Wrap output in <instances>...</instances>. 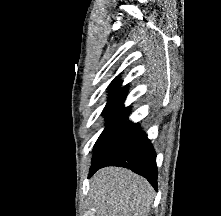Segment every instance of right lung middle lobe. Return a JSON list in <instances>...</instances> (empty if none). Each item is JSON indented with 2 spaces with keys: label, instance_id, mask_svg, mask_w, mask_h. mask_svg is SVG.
I'll use <instances>...</instances> for the list:
<instances>
[{
  "label": "right lung middle lobe",
  "instance_id": "dd1d6c3e",
  "mask_svg": "<svg viewBox=\"0 0 221 216\" xmlns=\"http://www.w3.org/2000/svg\"><path fill=\"white\" fill-rule=\"evenodd\" d=\"M126 116L107 119L106 127L94 146L92 166L105 163L144 135L139 125L127 121Z\"/></svg>",
  "mask_w": 221,
  "mask_h": 216
}]
</instances>
